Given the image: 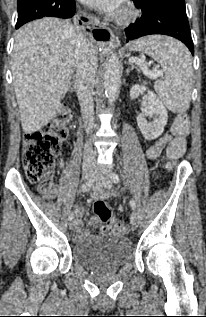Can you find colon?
<instances>
[{
  "mask_svg": "<svg viewBox=\"0 0 206 317\" xmlns=\"http://www.w3.org/2000/svg\"><path fill=\"white\" fill-rule=\"evenodd\" d=\"M72 118L70 109L62 106L54 120L41 130L29 133L24 138L23 164L28 179L38 185V189L47 193L52 188L50 173L60 153L61 145L69 134V123ZM190 129L189 117L178 114L173 121L172 132L176 136L168 147L167 156L174 162L186 151L185 137ZM95 215L103 222H111V228L118 234L128 233V226L124 222L113 221L108 205L102 201L93 204Z\"/></svg>",
  "mask_w": 206,
  "mask_h": 317,
  "instance_id": "colon-1",
  "label": "colon"
}]
</instances>
